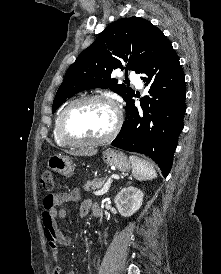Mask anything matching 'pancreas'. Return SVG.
I'll use <instances>...</instances> for the list:
<instances>
[{"mask_svg": "<svg viewBox=\"0 0 221 274\" xmlns=\"http://www.w3.org/2000/svg\"><path fill=\"white\" fill-rule=\"evenodd\" d=\"M106 180H107V177H104V178H96L92 181H87L83 188L86 190V191H96L102 187H104V185L106 184Z\"/></svg>", "mask_w": 221, "mask_h": 274, "instance_id": "cf45deb5", "label": "pancreas"}]
</instances>
